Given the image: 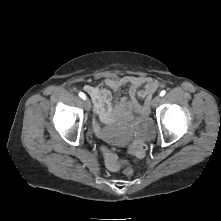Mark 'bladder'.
<instances>
[{
	"label": "bladder",
	"mask_w": 221,
	"mask_h": 221,
	"mask_svg": "<svg viewBox=\"0 0 221 221\" xmlns=\"http://www.w3.org/2000/svg\"><path fill=\"white\" fill-rule=\"evenodd\" d=\"M107 140L109 143L115 146H121L125 144V139L123 137L114 135L112 133H107Z\"/></svg>",
	"instance_id": "31cf9c89"
}]
</instances>
